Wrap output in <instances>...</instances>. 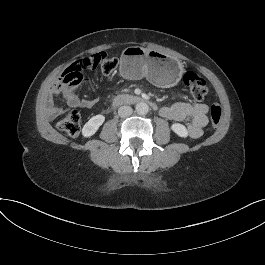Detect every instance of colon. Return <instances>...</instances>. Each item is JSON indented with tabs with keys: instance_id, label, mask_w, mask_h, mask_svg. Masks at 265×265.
Segmentation results:
<instances>
[{
	"instance_id": "obj_1",
	"label": "colon",
	"mask_w": 265,
	"mask_h": 265,
	"mask_svg": "<svg viewBox=\"0 0 265 265\" xmlns=\"http://www.w3.org/2000/svg\"><path fill=\"white\" fill-rule=\"evenodd\" d=\"M100 66L103 75H111L117 68V60L109 58L104 52L96 53L73 63L62 74L59 85L72 89L82 81V71ZM185 85L196 100H202L207 92L206 80L193 71H187L183 76ZM221 121V108L218 104L211 106V126L215 129ZM58 128L69 136H76L80 132L81 116L76 110L71 111L57 123Z\"/></svg>"
}]
</instances>
